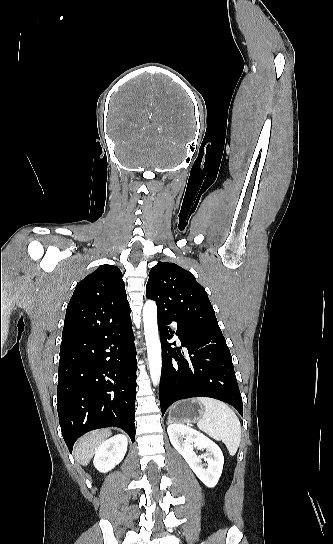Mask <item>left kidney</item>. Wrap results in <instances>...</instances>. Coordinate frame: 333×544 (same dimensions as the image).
Segmentation results:
<instances>
[{
	"label": "left kidney",
	"mask_w": 333,
	"mask_h": 544,
	"mask_svg": "<svg viewBox=\"0 0 333 544\" xmlns=\"http://www.w3.org/2000/svg\"><path fill=\"white\" fill-rule=\"evenodd\" d=\"M167 432L171 444L184 457L196 476L207 487H214L222 474L224 464L220 447L201 432L182 424H170ZM193 447L206 449V453L197 456ZM202 459L207 461V468H204Z\"/></svg>",
	"instance_id": "obj_1"
}]
</instances>
